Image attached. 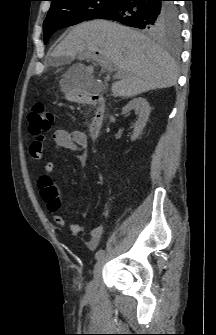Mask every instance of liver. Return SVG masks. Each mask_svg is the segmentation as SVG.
<instances>
[{
    "label": "liver",
    "instance_id": "6515ba94",
    "mask_svg": "<svg viewBox=\"0 0 216 335\" xmlns=\"http://www.w3.org/2000/svg\"><path fill=\"white\" fill-rule=\"evenodd\" d=\"M99 53L118 69L112 84L115 97H133L153 89L168 88L177 82L173 58L146 35L106 20H93L74 27L51 53L55 64L83 54ZM92 66L78 64L64 75L68 87L83 86ZM65 93V88L62 87Z\"/></svg>",
    "mask_w": 216,
    "mask_h": 335
}]
</instances>
